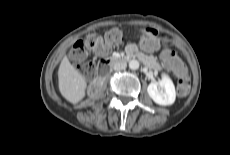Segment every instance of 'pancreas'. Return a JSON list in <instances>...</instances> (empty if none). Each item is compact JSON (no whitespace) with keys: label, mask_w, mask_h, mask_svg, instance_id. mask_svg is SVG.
<instances>
[{"label":"pancreas","mask_w":230,"mask_h":155,"mask_svg":"<svg viewBox=\"0 0 230 155\" xmlns=\"http://www.w3.org/2000/svg\"><path fill=\"white\" fill-rule=\"evenodd\" d=\"M137 57L141 58L143 63L147 67H149L150 69H159L160 68L159 63L157 62L156 58L153 56L145 57V56H142L141 54H137Z\"/></svg>","instance_id":"1"}]
</instances>
